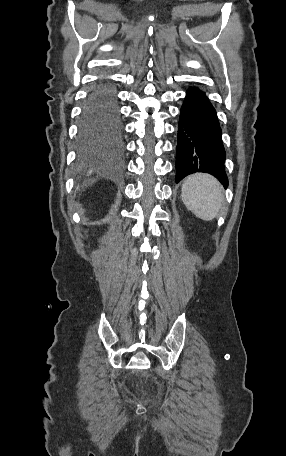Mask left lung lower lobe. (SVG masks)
Returning <instances> with one entry per match:
<instances>
[{"label":"left lung lower lobe","mask_w":286,"mask_h":456,"mask_svg":"<svg viewBox=\"0 0 286 456\" xmlns=\"http://www.w3.org/2000/svg\"><path fill=\"white\" fill-rule=\"evenodd\" d=\"M221 135L216 111L205 93L189 88L180 111L176 183L189 174L206 172L227 187L226 154Z\"/></svg>","instance_id":"obj_1"}]
</instances>
